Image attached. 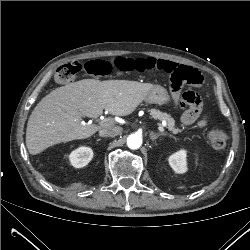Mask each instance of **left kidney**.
Listing matches in <instances>:
<instances>
[{
  "label": "left kidney",
  "instance_id": "left-kidney-1",
  "mask_svg": "<svg viewBox=\"0 0 250 250\" xmlns=\"http://www.w3.org/2000/svg\"><path fill=\"white\" fill-rule=\"evenodd\" d=\"M169 164L172 169L179 174L185 173L187 171V163H186V151L180 150L174 154H172L169 159Z\"/></svg>",
  "mask_w": 250,
  "mask_h": 250
}]
</instances>
